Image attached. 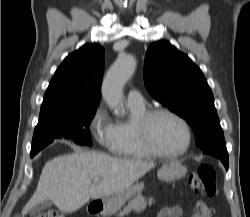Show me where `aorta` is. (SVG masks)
<instances>
[{
  "label": "aorta",
  "mask_w": 250,
  "mask_h": 217,
  "mask_svg": "<svg viewBox=\"0 0 250 217\" xmlns=\"http://www.w3.org/2000/svg\"><path fill=\"white\" fill-rule=\"evenodd\" d=\"M136 68V60L133 56L120 55L106 73L102 83V97L110 109L115 113L123 103V88L131 78Z\"/></svg>",
  "instance_id": "1"
}]
</instances>
